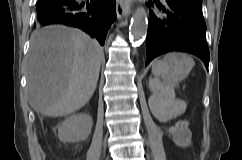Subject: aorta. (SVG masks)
Instances as JSON below:
<instances>
[{"mask_svg":"<svg viewBox=\"0 0 242 160\" xmlns=\"http://www.w3.org/2000/svg\"><path fill=\"white\" fill-rule=\"evenodd\" d=\"M148 28L147 12L144 7H138L132 16L130 35L135 41H141Z\"/></svg>","mask_w":242,"mask_h":160,"instance_id":"1","label":"aorta"}]
</instances>
